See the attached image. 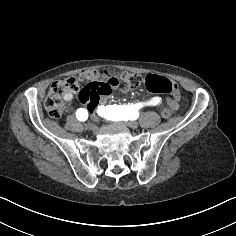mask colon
Segmentation results:
<instances>
[{
    "label": "colon",
    "mask_w": 236,
    "mask_h": 236,
    "mask_svg": "<svg viewBox=\"0 0 236 236\" xmlns=\"http://www.w3.org/2000/svg\"><path fill=\"white\" fill-rule=\"evenodd\" d=\"M143 79L136 73L121 72L112 74L105 70L83 71L77 77L54 82L44 102L47 113L52 118H60L66 110L62 97L67 92L78 91L79 100L88 108H94L101 98L110 94L114 88L128 89L141 85ZM148 91L169 96L171 105L162 110V117L169 119L176 109L179 97L177 86L167 78L148 75L144 80Z\"/></svg>",
    "instance_id": "colon-1"
}]
</instances>
